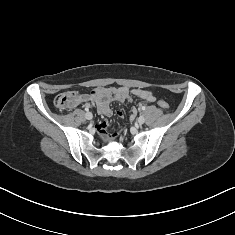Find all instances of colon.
<instances>
[{
  "instance_id": "1",
  "label": "colon",
  "mask_w": 235,
  "mask_h": 235,
  "mask_svg": "<svg viewBox=\"0 0 235 235\" xmlns=\"http://www.w3.org/2000/svg\"><path fill=\"white\" fill-rule=\"evenodd\" d=\"M79 101L80 95L77 92L69 91L58 94L54 99V104L60 111H67L75 107ZM158 105L164 110L169 109L168 103L164 100H159Z\"/></svg>"
}]
</instances>
